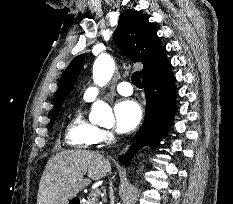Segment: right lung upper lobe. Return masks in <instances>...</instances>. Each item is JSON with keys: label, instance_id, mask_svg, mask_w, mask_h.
Returning a JSON list of instances; mask_svg holds the SVG:
<instances>
[{"label": "right lung upper lobe", "instance_id": "obj_1", "mask_svg": "<svg viewBox=\"0 0 233 204\" xmlns=\"http://www.w3.org/2000/svg\"><path fill=\"white\" fill-rule=\"evenodd\" d=\"M114 41L130 59L143 63L141 78L169 63L166 49L161 46L153 23L140 11L126 10L120 15ZM84 60V55H80L66 68L55 97L52 118L57 117L61 105L79 76Z\"/></svg>", "mask_w": 233, "mask_h": 204}]
</instances>
